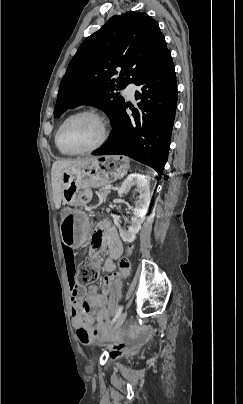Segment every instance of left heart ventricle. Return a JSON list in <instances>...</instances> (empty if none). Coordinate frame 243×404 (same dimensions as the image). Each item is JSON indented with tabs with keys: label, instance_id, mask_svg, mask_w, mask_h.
Returning a JSON list of instances; mask_svg holds the SVG:
<instances>
[{
	"label": "left heart ventricle",
	"instance_id": "1",
	"mask_svg": "<svg viewBox=\"0 0 243 404\" xmlns=\"http://www.w3.org/2000/svg\"><path fill=\"white\" fill-rule=\"evenodd\" d=\"M102 136V124L92 115L72 118L64 126L61 137L66 146L85 149L95 145Z\"/></svg>",
	"mask_w": 243,
	"mask_h": 404
}]
</instances>
